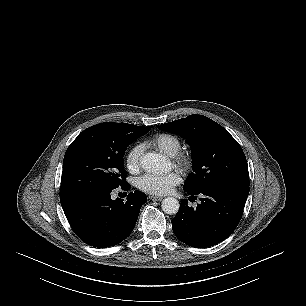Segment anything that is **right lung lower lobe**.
Instances as JSON below:
<instances>
[{"label":"right lung lower lobe","mask_w":306,"mask_h":306,"mask_svg":"<svg viewBox=\"0 0 306 306\" xmlns=\"http://www.w3.org/2000/svg\"><path fill=\"white\" fill-rule=\"evenodd\" d=\"M122 189L129 190L127 183ZM113 189H95L61 201L75 234L86 244L105 248L126 239L134 229L147 197L140 191L129 193L127 201L112 200Z\"/></svg>","instance_id":"98d812e1"}]
</instances>
